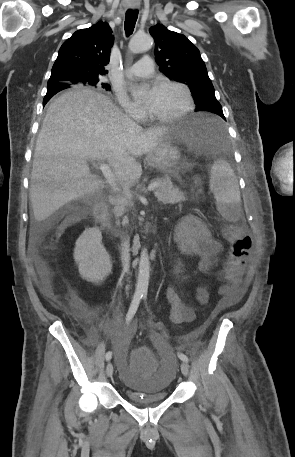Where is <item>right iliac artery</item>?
<instances>
[{
	"mask_svg": "<svg viewBox=\"0 0 295 457\" xmlns=\"http://www.w3.org/2000/svg\"><path fill=\"white\" fill-rule=\"evenodd\" d=\"M141 298H142V295L141 294H135L134 297H133V300H132V303L130 305V308L128 310V313L126 315V323L128 324L133 316L135 315L136 311H137V308L139 306V303L141 301ZM112 357V352L109 351L106 353V360H110Z\"/></svg>",
	"mask_w": 295,
	"mask_h": 457,
	"instance_id": "82829eb1",
	"label": "right iliac artery"
}]
</instances>
